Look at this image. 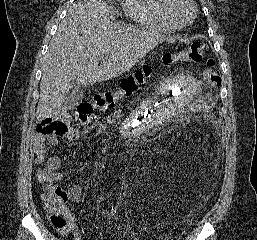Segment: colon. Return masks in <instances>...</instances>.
I'll return each mask as SVG.
<instances>
[{"mask_svg": "<svg viewBox=\"0 0 257 240\" xmlns=\"http://www.w3.org/2000/svg\"><path fill=\"white\" fill-rule=\"evenodd\" d=\"M206 51L205 43H195L190 48L180 52H167L161 57L163 66H171L181 61L200 62ZM213 60H207V67L204 70V80L211 88H219L221 77L212 68ZM154 75L153 67L146 65L140 71L124 78L120 89L97 96L92 103L81 104L77 108V118L79 122L86 123L91 120L94 110H107L123 97L135 94ZM65 129V124L51 118L40 121L37 131L41 134L61 133ZM67 192L57 185H50L43 193V200L48 209V218L51 225L59 230L66 231L69 228V220L64 207L67 200Z\"/></svg>", "mask_w": 257, "mask_h": 240, "instance_id": "obj_1", "label": "colon"}]
</instances>
